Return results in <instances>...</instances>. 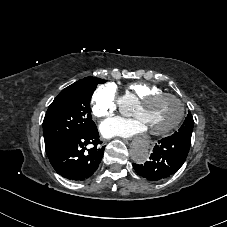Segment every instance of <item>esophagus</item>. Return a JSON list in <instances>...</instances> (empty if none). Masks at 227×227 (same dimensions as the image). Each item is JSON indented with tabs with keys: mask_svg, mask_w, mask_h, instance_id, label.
<instances>
[{
	"mask_svg": "<svg viewBox=\"0 0 227 227\" xmlns=\"http://www.w3.org/2000/svg\"><path fill=\"white\" fill-rule=\"evenodd\" d=\"M136 137V136H135ZM142 145H147L148 149L153 150L156 147V144L151 138L149 137L148 140L143 141L142 140Z\"/></svg>",
	"mask_w": 227,
	"mask_h": 227,
	"instance_id": "1",
	"label": "esophagus"
}]
</instances>
